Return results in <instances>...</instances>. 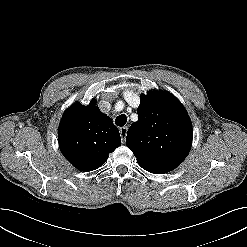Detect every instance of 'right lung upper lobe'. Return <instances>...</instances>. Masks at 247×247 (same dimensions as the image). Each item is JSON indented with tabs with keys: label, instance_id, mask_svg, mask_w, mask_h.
I'll use <instances>...</instances> for the list:
<instances>
[{
	"label": "right lung upper lobe",
	"instance_id": "1",
	"mask_svg": "<svg viewBox=\"0 0 247 247\" xmlns=\"http://www.w3.org/2000/svg\"><path fill=\"white\" fill-rule=\"evenodd\" d=\"M95 103L92 100L88 106H70L58 129L62 154L74 167L86 172L102 166L108 154L121 145L119 130Z\"/></svg>",
	"mask_w": 247,
	"mask_h": 247
}]
</instances>
